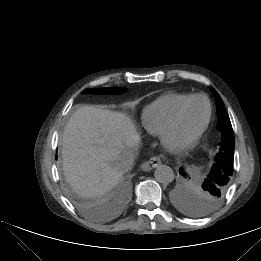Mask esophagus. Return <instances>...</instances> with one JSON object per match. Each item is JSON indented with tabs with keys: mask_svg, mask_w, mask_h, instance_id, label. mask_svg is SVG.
<instances>
[{
	"mask_svg": "<svg viewBox=\"0 0 261 261\" xmlns=\"http://www.w3.org/2000/svg\"><path fill=\"white\" fill-rule=\"evenodd\" d=\"M161 164H162L161 158L158 156H154L151 157L147 163L143 164L142 168H144L145 170L152 169L158 167Z\"/></svg>",
	"mask_w": 261,
	"mask_h": 261,
	"instance_id": "obj_1",
	"label": "esophagus"
}]
</instances>
